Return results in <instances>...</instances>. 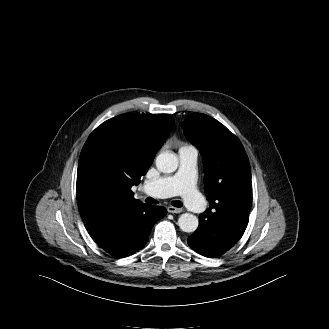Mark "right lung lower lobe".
<instances>
[{"label":"right lung lower lobe","mask_w":329,"mask_h":329,"mask_svg":"<svg viewBox=\"0 0 329 329\" xmlns=\"http://www.w3.org/2000/svg\"><path fill=\"white\" fill-rule=\"evenodd\" d=\"M166 215L162 206L135 204L101 210L86 219L97 243L114 257L142 249L154 224Z\"/></svg>","instance_id":"right-lung-lower-lobe-1"}]
</instances>
